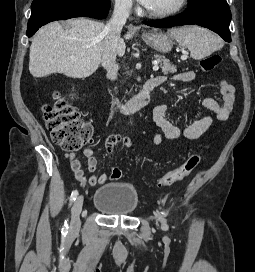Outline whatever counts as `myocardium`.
<instances>
[{
  "instance_id": "1",
  "label": "myocardium",
  "mask_w": 255,
  "mask_h": 272,
  "mask_svg": "<svg viewBox=\"0 0 255 272\" xmlns=\"http://www.w3.org/2000/svg\"><path fill=\"white\" fill-rule=\"evenodd\" d=\"M187 2L188 0H179L176 5H174L173 7L169 9L162 10V11H151L149 9H146V13L149 16L155 17V18L169 17L182 11L184 7L187 5Z\"/></svg>"
}]
</instances>
